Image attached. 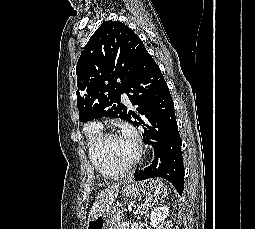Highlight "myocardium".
I'll return each mask as SVG.
<instances>
[{
  "mask_svg": "<svg viewBox=\"0 0 255 229\" xmlns=\"http://www.w3.org/2000/svg\"><path fill=\"white\" fill-rule=\"evenodd\" d=\"M116 136H119V134L114 131L103 133L102 136L100 137V139L98 140L97 151L101 155V157L104 160H106V162L112 168H114L116 170H120L123 173V171L131 169L139 161L141 154H142V146L139 142L136 143V146H137L136 154H135L134 158L132 160H130L129 162H117L109 156V154L107 153V150H106V144H107L108 140L113 137H116Z\"/></svg>",
  "mask_w": 255,
  "mask_h": 229,
  "instance_id": "myocardium-1",
  "label": "myocardium"
}]
</instances>
